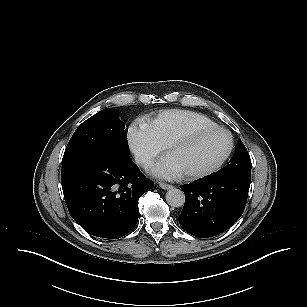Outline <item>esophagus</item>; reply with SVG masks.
Here are the masks:
<instances>
[{
  "instance_id": "1",
  "label": "esophagus",
  "mask_w": 307,
  "mask_h": 307,
  "mask_svg": "<svg viewBox=\"0 0 307 307\" xmlns=\"http://www.w3.org/2000/svg\"><path fill=\"white\" fill-rule=\"evenodd\" d=\"M159 186H160L162 189H164V190H168V189L173 188L172 185L167 184V183H163V182H160V183H159Z\"/></svg>"
}]
</instances>
